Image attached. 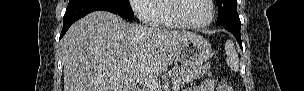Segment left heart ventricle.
Segmentation results:
<instances>
[{
    "label": "left heart ventricle",
    "instance_id": "1",
    "mask_svg": "<svg viewBox=\"0 0 304 91\" xmlns=\"http://www.w3.org/2000/svg\"><path fill=\"white\" fill-rule=\"evenodd\" d=\"M180 14L190 24H201L209 19L211 8L207 0H184Z\"/></svg>",
    "mask_w": 304,
    "mask_h": 91
}]
</instances>
